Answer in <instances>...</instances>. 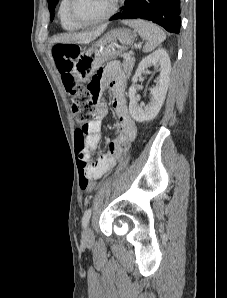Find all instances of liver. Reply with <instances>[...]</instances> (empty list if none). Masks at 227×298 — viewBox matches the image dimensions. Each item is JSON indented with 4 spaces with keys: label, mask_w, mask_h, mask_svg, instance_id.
<instances>
[{
    "label": "liver",
    "mask_w": 227,
    "mask_h": 298,
    "mask_svg": "<svg viewBox=\"0 0 227 298\" xmlns=\"http://www.w3.org/2000/svg\"><path fill=\"white\" fill-rule=\"evenodd\" d=\"M106 25L97 28L94 31L83 32V33H69L55 37L51 43H62V44H88L99 37L104 30Z\"/></svg>",
    "instance_id": "liver-1"
}]
</instances>
